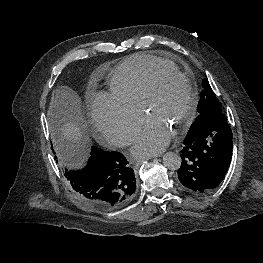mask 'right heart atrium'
<instances>
[{"label":"right heart atrium","instance_id":"right-heart-atrium-1","mask_svg":"<svg viewBox=\"0 0 263 263\" xmlns=\"http://www.w3.org/2000/svg\"><path fill=\"white\" fill-rule=\"evenodd\" d=\"M90 111L98 134L120 147L131 142L142 120V112L139 108L123 103L112 94L105 92L93 99Z\"/></svg>","mask_w":263,"mask_h":263}]
</instances>
